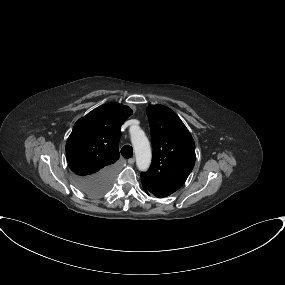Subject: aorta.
Segmentation results:
<instances>
[{
  "mask_svg": "<svg viewBox=\"0 0 285 285\" xmlns=\"http://www.w3.org/2000/svg\"><path fill=\"white\" fill-rule=\"evenodd\" d=\"M131 142L136 156V164L140 171L148 170L151 163V148L144 131L139 127L131 131Z\"/></svg>",
  "mask_w": 285,
  "mask_h": 285,
  "instance_id": "762f6f07",
  "label": "aorta"
}]
</instances>
